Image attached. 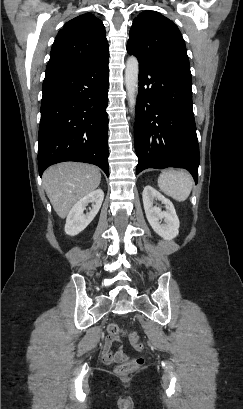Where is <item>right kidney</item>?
<instances>
[{"label": "right kidney", "instance_id": "obj_1", "mask_svg": "<svg viewBox=\"0 0 243 409\" xmlns=\"http://www.w3.org/2000/svg\"><path fill=\"white\" fill-rule=\"evenodd\" d=\"M104 199L102 189H97L80 199L70 210L65 224V233L75 236L82 232L98 213ZM92 203L90 212L84 214L86 206Z\"/></svg>", "mask_w": 243, "mask_h": 409}]
</instances>
